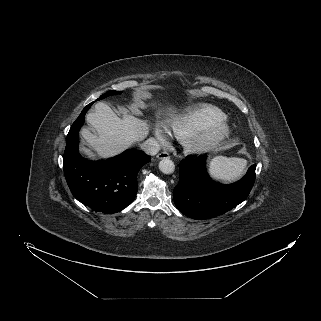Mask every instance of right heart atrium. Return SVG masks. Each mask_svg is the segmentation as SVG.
<instances>
[{
    "mask_svg": "<svg viewBox=\"0 0 321 321\" xmlns=\"http://www.w3.org/2000/svg\"><path fill=\"white\" fill-rule=\"evenodd\" d=\"M154 137L159 143H161L163 145L168 143V137H167L166 133L163 130H161L160 128H156L154 130Z\"/></svg>",
    "mask_w": 321,
    "mask_h": 321,
    "instance_id": "obj_1",
    "label": "right heart atrium"
}]
</instances>
